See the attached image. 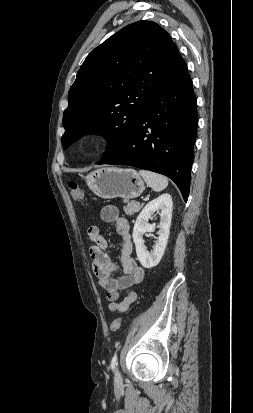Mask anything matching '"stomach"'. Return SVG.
<instances>
[{"mask_svg": "<svg viewBox=\"0 0 253 413\" xmlns=\"http://www.w3.org/2000/svg\"><path fill=\"white\" fill-rule=\"evenodd\" d=\"M90 190L103 199L123 198L125 200L140 196L145 189L139 173L131 168L105 167L85 176Z\"/></svg>", "mask_w": 253, "mask_h": 413, "instance_id": "obj_1", "label": "stomach"}]
</instances>
